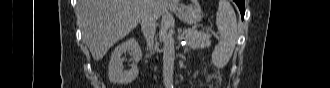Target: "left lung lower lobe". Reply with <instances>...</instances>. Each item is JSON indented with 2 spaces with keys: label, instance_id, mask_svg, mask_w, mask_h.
Wrapping results in <instances>:
<instances>
[{
  "label": "left lung lower lobe",
  "instance_id": "obj_1",
  "mask_svg": "<svg viewBox=\"0 0 330 88\" xmlns=\"http://www.w3.org/2000/svg\"><path fill=\"white\" fill-rule=\"evenodd\" d=\"M234 2H236V4L238 5L243 19L245 14V6H244L245 0H234Z\"/></svg>",
  "mask_w": 330,
  "mask_h": 88
}]
</instances>
